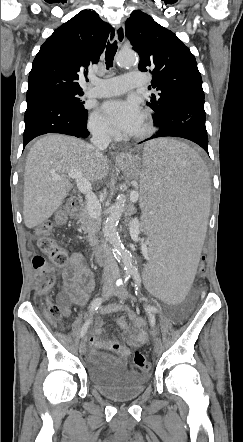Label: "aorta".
Instances as JSON below:
<instances>
[{
    "label": "aorta",
    "mask_w": 243,
    "mask_h": 442,
    "mask_svg": "<svg viewBox=\"0 0 243 442\" xmlns=\"http://www.w3.org/2000/svg\"><path fill=\"white\" fill-rule=\"evenodd\" d=\"M137 58L132 51H121L117 57V65L120 68H132L136 65ZM126 197L123 193L119 194L116 202L109 210V216L104 221L103 234L112 247V251L117 260L121 261L126 269V273L134 270L132 256L127 251L120 239L117 226L122 214L125 211Z\"/></svg>",
    "instance_id": "obj_1"
}]
</instances>
